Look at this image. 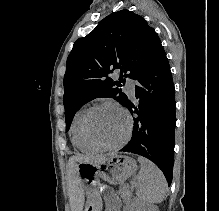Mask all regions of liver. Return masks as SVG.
<instances>
[{
  "label": "liver",
  "instance_id": "obj_1",
  "mask_svg": "<svg viewBox=\"0 0 219 211\" xmlns=\"http://www.w3.org/2000/svg\"><path fill=\"white\" fill-rule=\"evenodd\" d=\"M103 155L99 157H86V155H72L69 157V175L71 179L70 185V203L72 211H83L84 193L81 187L80 179L76 177V161H97L101 159Z\"/></svg>",
  "mask_w": 219,
  "mask_h": 211
}]
</instances>
